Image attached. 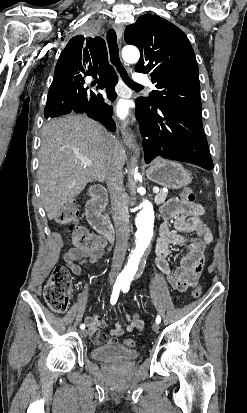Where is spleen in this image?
I'll list each match as a JSON object with an SVG mask.
<instances>
[{
    "label": "spleen",
    "mask_w": 247,
    "mask_h": 413,
    "mask_svg": "<svg viewBox=\"0 0 247 413\" xmlns=\"http://www.w3.org/2000/svg\"><path fill=\"white\" fill-rule=\"evenodd\" d=\"M205 182H209V180H206V178H205Z\"/></svg>",
    "instance_id": "spleen-1"
}]
</instances>
